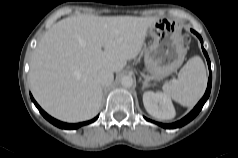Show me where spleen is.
<instances>
[{"mask_svg": "<svg viewBox=\"0 0 238 158\" xmlns=\"http://www.w3.org/2000/svg\"><path fill=\"white\" fill-rule=\"evenodd\" d=\"M206 84L207 74L203 60L194 56L179 71L178 78L165 83L162 89L175 102L191 107L203 96Z\"/></svg>", "mask_w": 238, "mask_h": 158, "instance_id": "spleen-1", "label": "spleen"}]
</instances>
